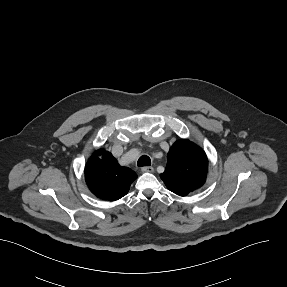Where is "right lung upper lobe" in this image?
Returning <instances> with one entry per match:
<instances>
[{
	"label": "right lung upper lobe",
	"mask_w": 287,
	"mask_h": 287,
	"mask_svg": "<svg viewBox=\"0 0 287 287\" xmlns=\"http://www.w3.org/2000/svg\"><path fill=\"white\" fill-rule=\"evenodd\" d=\"M137 178L134 171L121 167L105 149L92 154L85 167V180L90 191L100 199L115 201L126 195Z\"/></svg>",
	"instance_id": "cb5924a9"
}]
</instances>
